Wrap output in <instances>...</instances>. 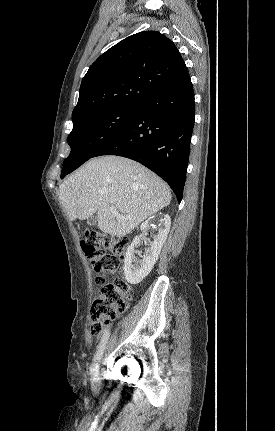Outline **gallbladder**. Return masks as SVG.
Returning a JSON list of instances; mask_svg holds the SVG:
<instances>
[{"mask_svg": "<svg viewBox=\"0 0 275 431\" xmlns=\"http://www.w3.org/2000/svg\"><path fill=\"white\" fill-rule=\"evenodd\" d=\"M96 216H91L90 218L87 219V224L89 226H94L96 224Z\"/></svg>", "mask_w": 275, "mask_h": 431, "instance_id": "obj_1", "label": "gallbladder"}]
</instances>
